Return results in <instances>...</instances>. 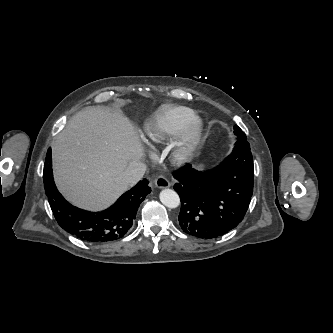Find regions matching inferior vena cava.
Returning <instances> with one entry per match:
<instances>
[{"label": "inferior vena cava", "mask_w": 333, "mask_h": 333, "mask_svg": "<svg viewBox=\"0 0 333 333\" xmlns=\"http://www.w3.org/2000/svg\"><path fill=\"white\" fill-rule=\"evenodd\" d=\"M146 165L140 161H133L122 174V180L126 185H134L142 179L146 172Z\"/></svg>", "instance_id": "inferior-vena-cava-1"}]
</instances>
